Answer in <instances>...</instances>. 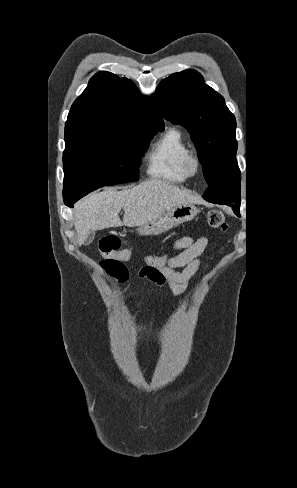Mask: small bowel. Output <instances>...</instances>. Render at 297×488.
I'll list each match as a JSON object with an SVG mask.
<instances>
[{
	"instance_id": "1",
	"label": "small bowel",
	"mask_w": 297,
	"mask_h": 488,
	"mask_svg": "<svg viewBox=\"0 0 297 488\" xmlns=\"http://www.w3.org/2000/svg\"><path fill=\"white\" fill-rule=\"evenodd\" d=\"M208 244L205 236H184L174 241L172 250L175 256L165 268L150 272L146 278L157 287L169 289L174 297L179 296L190 288L194 275L202 268L201 256Z\"/></svg>"
}]
</instances>
